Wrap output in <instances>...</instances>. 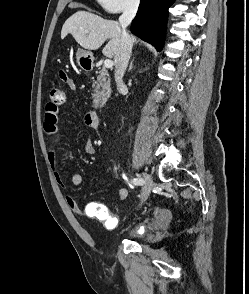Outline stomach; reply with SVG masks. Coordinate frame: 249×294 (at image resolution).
<instances>
[{"label": "stomach", "instance_id": "stomach-1", "mask_svg": "<svg viewBox=\"0 0 249 294\" xmlns=\"http://www.w3.org/2000/svg\"><path fill=\"white\" fill-rule=\"evenodd\" d=\"M76 61L80 68L86 69L93 63V54L88 50L79 49L76 53Z\"/></svg>", "mask_w": 249, "mask_h": 294}]
</instances>
